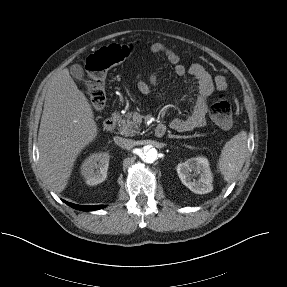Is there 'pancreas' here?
Returning <instances> with one entry per match:
<instances>
[{
    "label": "pancreas",
    "mask_w": 287,
    "mask_h": 287,
    "mask_svg": "<svg viewBox=\"0 0 287 287\" xmlns=\"http://www.w3.org/2000/svg\"><path fill=\"white\" fill-rule=\"evenodd\" d=\"M133 112H127L119 116L118 125L119 132L125 136H134L139 133V125L132 120Z\"/></svg>",
    "instance_id": "cf45deb5"
}]
</instances>
